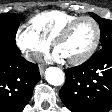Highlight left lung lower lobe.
Returning <instances> with one entry per match:
<instances>
[{
  "label": "left lung lower lobe",
  "instance_id": "obj_1",
  "mask_svg": "<svg viewBox=\"0 0 112 112\" xmlns=\"http://www.w3.org/2000/svg\"><path fill=\"white\" fill-rule=\"evenodd\" d=\"M60 98L71 112L112 109V46L102 48L83 64L65 69Z\"/></svg>",
  "mask_w": 112,
  "mask_h": 112
}]
</instances>
